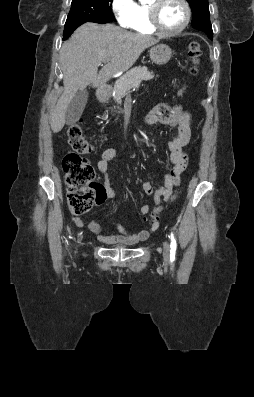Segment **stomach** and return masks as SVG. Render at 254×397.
I'll return each instance as SVG.
<instances>
[{"label":"stomach","instance_id":"obj_1","mask_svg":"<svg viewBox=\"0 0 254 397\" xmlns=\"http://www.w3.org/2000/svg\"><path fill=\"white\" fill-rule=\"evenodd\" d=\"M149 54L153 63L157 65H164L170 60L172 51L168 45L158 44L151 47ZM101 98L105 101L107 99V95H102Z\"/></svg>","mask_w":254,"mask_h":397}]
</instances>
